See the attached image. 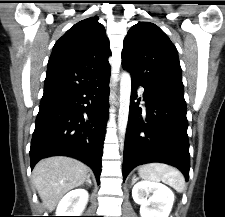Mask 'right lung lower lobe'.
I'll return each instance as SVG.
<instances>
[{
	"mask_svg": "<svg viewBox=\"0 0 225 217\" xmlns=\"http://www.w3.org/2000/svg\"><path fill=\"white\" fill-rule=\"evenodd\" d=\"M109 79L89 88L42 97L31 141V169L45 157L71 156L89 165L100 183Z\"/></svg>",
	"mask_w": 225,
	"mask_h": 217,
	"instance_id": "obj_1",
	"label": "right lung lower lobe"
}]
</instances>
